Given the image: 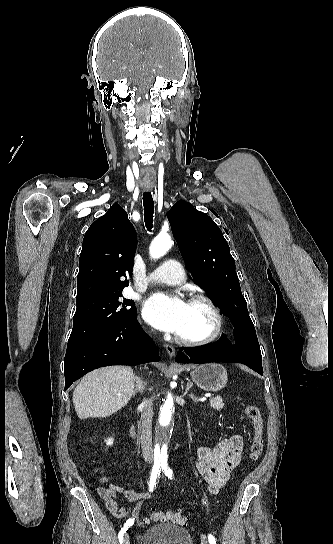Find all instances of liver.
<instances>
[{
	"label": "liver",
	"mask_w": 333,
	"mask_h": 544,
	"mask_svg": "<svg viewBox=\"0 0 333 544\" xmlns=\"http://www.w3.org/2000/svg\"><path fill=\"white\" fill-rule=\"evenodd\" d=\"M134 381L135 375L128 366H109L88 373L73 392L77 416L86 419L114 414L130 401Z\"/></svg>",
	"instance_id": "obj_1"
}]
</instances>
